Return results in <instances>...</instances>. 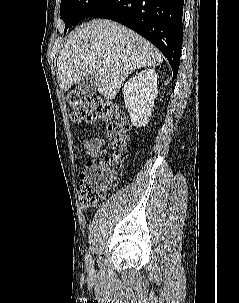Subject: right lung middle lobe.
I'll return each instance as SVG.
<instances>
[{"label":"right lung middle lobe","instance_id":"obj_1","mask_svg":"<svg viewBox=\"0 0 239 303\" xmlns=\"http://www.w3.org/2000/svg\"><path fill=\"white\" fill-rule=\"evenodd\" d=\"M106 0H62L61 18L65 22V31L76 25L82 18L101 6Z\"/></svg>","mask_w":239,"mask_h":303}]
</instances>
